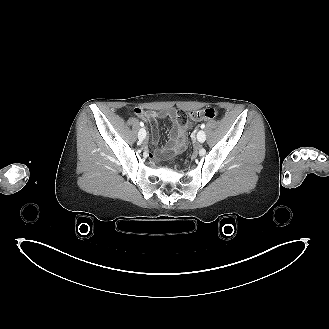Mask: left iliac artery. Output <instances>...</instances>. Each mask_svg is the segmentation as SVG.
I'll list each match as a JSON object with an SVG mask.
<instances>
[{
    "mask_svg": "<svg viewBox=\"0 0 329 329\" xmlns=\"http://www.w3.org/2000/svg\"><path fill=\"white\" fill-rule=\"evenodd\" d=\"M201 129H204L205 128V124L203 123V124H201Z\"/></svg>",
    "mask_w": 329,
    "mask_h": 329,
    "instance_id": "1",
    "label": "left iliac artery"
}]
</instances>
